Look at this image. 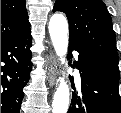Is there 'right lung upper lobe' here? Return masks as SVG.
Here are the masks:
<instances>
[{
  "label": "right lung upper lobe",
  "mask_w": 121,
  "mask_h": 113,
  "mask_svg": "<svg viewBox=\"0 0 121 113\" xmlns=\"http://www.w3.org/2000/svg\"><path fill=\"white\" fill-rule=\"evenodd\" d=\"M29 29L25 0H1V42Z\"/></svg>",
  "instance_id": "1"
}]
</instances>
